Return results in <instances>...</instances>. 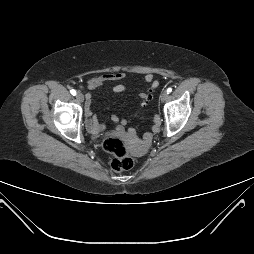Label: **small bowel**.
I'll return each mask as SVG.
<instances>
[{"label": "small bowel", "mask_w": 254, "mask_h": 254, "mask_svg": "<svg viewBox=\"0 0 254 254\" xmlns=\"http://www.w3.org/2000/svg\"><path fill=\"white\" fill-rule=\"evenodd\" d=\"M127 74L125 72H116V73H108L102 74L95 77H92L88 80L87 86L90 90H95L106 83L121 81L125 79ZM144 80L146 83L150 84L151 89L158 86V81L155 80L154 75L148 73L144 76ZM126 90L125 85L117 84L113 87V92L121 93ZM141 98H145V94L140 95ZM92 102L93 97L91 93H86V104H85V115H86V127L87 130L94 136H99L100 133L106 128V126L100 123L98 116L92 110ZM112 120L117 125L116 133L122 134L123 133V126L125 125L126 121L119 119L117 116L113 115ZM160 127V119L158 116H155L154 124L152 127V132H157ZM151 137V133H146L144 135V139L148 140Z\"/></svg>", "instance_id": "1"}]
</instances>
